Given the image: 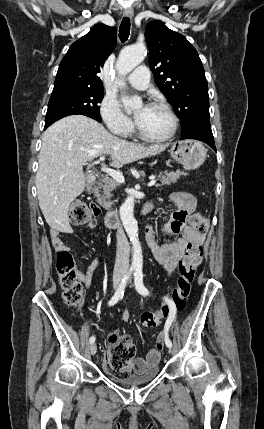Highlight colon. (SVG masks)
<instances>
[{"mask_svg":"<svg viewBox=\"0 0 264 429\" xmlns=\"http://www.w3.org/2000/svg\"><path fill=\"white\" fill-rule=\"evenodd\" d=\"M100 213L95 204H89L83 199H76L70 208V220L75 225H81ZM192 227L203 233L207 229L208 218L205 214L196 213L190 218ZM203 249L201 244H194L187 248L183 259L179 262V277L173 289L172 299L177 312L185 309L186 302L191 292V285L196 275V270L201 263ZM56 270L60 286L63 290L65 302L80 310L83 306V287L78 280L76 262L72 254L67 250H60L56 256ZM169 314V307L162 305L156 311L144 312L141 323L145 327H155ZM109 354L104 358V370L117 377H126L130 372V364L135 355V347L127 336L112 334L108 338ZM164 347L163 335L156 340V348Z\"/></svg>","mask_w":264,"mask_h":429,"instance_id":"5ec220e1","label":"colon"}]
</instances>
